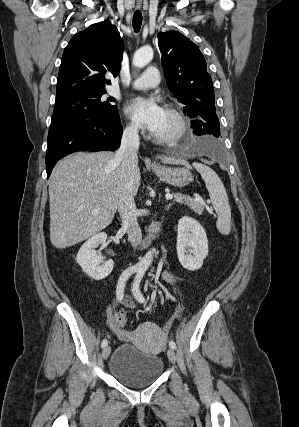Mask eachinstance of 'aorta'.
I'll list each match as a JSON object with an SVG mask.
<instances>
[{"label":"aorta","mask_w":299,"mask_h":427,"mask_svg":"<svg viewBox=\"0 0 299 427\" xmlns=\"http://www.w3.org/2000/svg\"><path fill=\"white\" fill-rule=\"evenodd\" d=\"M153 58V49L150 46H144L138 49L133 56V65L138 68L145 67ZM154 250H149L143 259L139 262V267L147 270L152 263Z\"/></svg>","instance_id":"aorta-1"}]
</instances>
